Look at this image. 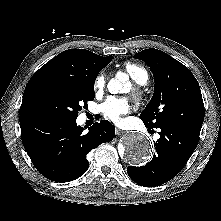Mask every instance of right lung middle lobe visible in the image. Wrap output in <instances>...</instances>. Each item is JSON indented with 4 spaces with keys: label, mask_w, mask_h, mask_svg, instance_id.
<instances>
[{
    "label": "right lung middle lobe",
    "mask_w": 221,
    "mask_h": 221,
    "mask_svg": "<svg viewBox=\"0 0 221 221\" xmlns=\"http://www.w3.org/2000/svg\"><path fill=\"white\" fill-rule=\"evenodd\" d=\"M94 82L49 81L37 86L20 108L24 116L76 119L82 106L94 100Z\"/></svg>",
    "instance_id": "right-lung-middle-lobe-1"
}]
</instances>
